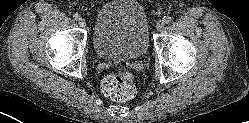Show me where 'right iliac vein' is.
<instances>
[{
	"instance_id": "63e3f726",
	"label": "right iliac vein",
	"mask_w": 249,
	"mask_h": 123,
	"mask_svg": "<svg viewBox=\"0 0 249 123\" xmlns=\"http://www.w3.org/2000/svg\"><path fill=\"white\" fill-rule=\"evenodd\" d=\"M78 24H79L80 27L84 28V27L86 26V21H85V19L80 18V19L78 20Z\"/></svg>"
}]
</instances>
